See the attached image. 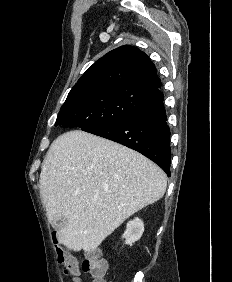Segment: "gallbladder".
Listing matches in <instances>:
<instances>
[{
	"label": "gallbladder",
	"instance_id": "1",
	"mask_svg": "<svg viewBox=\"0 0 232 282\" xmlns=\"http://www.w3.org/2000/svg\"><path fill=\"white\" fill-rule=\"evenodd\" d=\"M65 225V219L64 218H60L55 222V226L57 228H61Z\"/></svg>",
	"mask_w": 232,
	"mask_h": 282
}]
</instances>
